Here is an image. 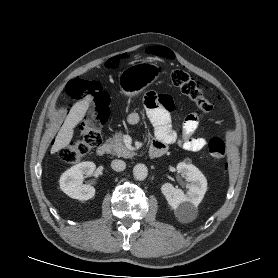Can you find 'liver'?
Instances as JSON below:
<instances>
[{
	"label": "liver",
	"mask_w": 278,
	"mask_h": 278,
	"mask_svg": "<svg viewBox=\"0 0 278 278\" xmlns=\"http://www.w3.org/2000/svg\"><path fill=\"white\" fill-rule=\"evenodd\" d=\"M90 101L91 96H87L80 102H77L73 105L55 138L54 144L51 148L52 154L58 152L59 150L69 145L71 139L73 138V129L85 116L89 108Z\"/></svg>",
	"instance_id": "6515ba94"
}]
</instances>
